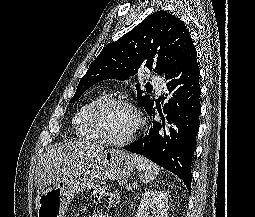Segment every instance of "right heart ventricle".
<instances>
[{
	"mask_svg": "<svg viewBox=\"0 0 255 217\" xmlns=\"http://www.w3.org/2000/svg\"><path fill=\"white\" fill-rule=\"evenodd\" d=\"M106 93H100L95 97L91 98L90 100L83 103L72 119V126L75 129L76 135L84 140H98L97 136L92 131L88 116L90 111L101 101L107 99Z\"/></svg>",
	"mask_w": 255,
	"mask_h": 217,
	"instance_id": "right-heart-ventricle-1",
	"label": "right heart ventricle"
}]
</instances>
